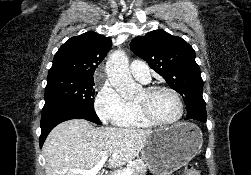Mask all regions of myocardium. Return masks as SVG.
<instances>
[{
    "mask_svg": "<svg viewBox=\"0 0 251 175\" xmlns=\"http://www.w3.org/2000/svg\"><path fill=\"white\" fill-rule=\"evenodd\" d=\"M144 90L147 92H150V93L161 91V90L170 91L176 96V98L179 102L180 108H181L180 117L177 121H175L173 123H164V122L159 121L149 111L144 110L136 105V109H137L138 113L142 117H144L151 125L161 127V128H174V127H177V126L183 124V122L186 119V106H185V102H184L182 94L177 89H175L171 86H168V85H156V86L147 87Z\"/></svg>",
    "mask_w": 251,
    "mask_h": 175,
    "instance_id": "obj_1",
    "label": "myocardium"
}]
</instances>
